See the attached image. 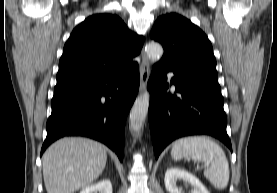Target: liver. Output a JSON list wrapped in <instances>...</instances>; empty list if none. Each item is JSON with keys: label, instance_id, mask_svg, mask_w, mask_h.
<instances>
[{"label": "liver", "instance_id": "obj_1", "mask_svg": "<svg viewBox=\"0 0 277 193\" xmlns=\"http://www.w3.org/2000/svg\"><path fill=\"white\" fill-rule=\"evenodd\" d=\"M107 152L101 143L82 137H66L43 154V178L47 193H74L90 186L103 172Z\"/></svg>", "mask_w": 277, "mask_h": 193}]
</instances>
